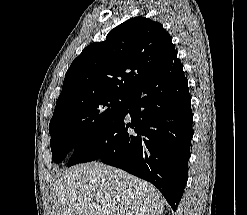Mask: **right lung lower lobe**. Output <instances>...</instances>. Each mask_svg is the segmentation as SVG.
<instances>
[{
  "mask_svg": "<svg viewBox=\"0 0 247 215\" xmlns=\"http://www.w3.org/2000/svg\"><path fill=\"white\" fill-rule=\"evenodd\" d=\"M192 111L183 67L173 51L130 95L125 111L72 151L68 166L101 160L154 184L174 211L188 177Z\"/></svg>",
  "mask_w": 247,
  "mask_h": 215,
  "instance_id": "obj_1",
  "label": "right lung lower lobe"
}]
</instances>
